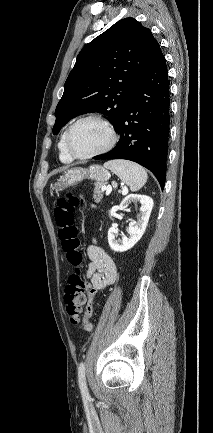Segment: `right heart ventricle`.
Listing matches in <instances>:
<instances>
[{"label": "right heart ventricle", "instance_id": "e07e8e85", "mask_svg": "<svg viewBox=\"0 0 213 433\" xmlns=\"http://www.w3.org/2000/svg\"><path fill=\"white\" fill-rule=\"evenodd\" d=\"M67 129L63 131V133L60 136L59 142H58V155L59 159L62 162L69 163L73 160V158L69 155L66 145H65V136H66Z\"/></svg>", "mask_w": 213, "mask_h": 433}]
</instances>
